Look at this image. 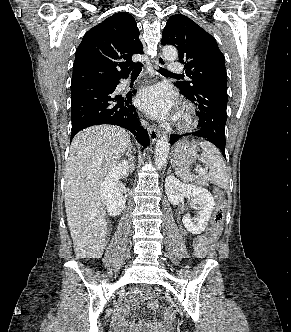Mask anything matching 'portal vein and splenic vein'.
I'll list each match as a JSON object with an SVG mask.
<instances>
[{"label":"portal vein and splenic vein","mask_w":291,"mask_h":332,"mask_svg":"<svg viewBox=\"0 0 291 332\" xmlns=\"http://www.w3.org/2000/svg\"><path fill=\"white\" fill-rule=\"evenodd\" d=\"M206 171H207V170H206L205 168H202V167H199V168H198V172H199L200 175L205 174Z\"/></svg>","instance_id":"18ae733b"}]
</instances>
